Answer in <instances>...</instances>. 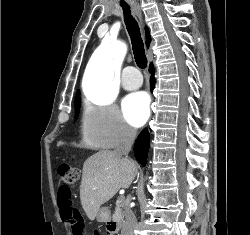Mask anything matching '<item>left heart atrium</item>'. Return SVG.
Segmentation results:
<instances>
[{"instance_id": "1", "label": "left heart atrium", "mask_w": 250, "mask_h": 235, "mask_svg": "<svg viewBox=\"0 0 250 235\" xmlns=\"http://www.w3.org/2000/svg\"><path fill=\"white\" fill-rule=\"evenodd\" d=\"M122 109L126 120L131 125L139 127L144 124L149 116V97L144 92L130 94L124 99Z\"/></svg>"}]
</instances>
